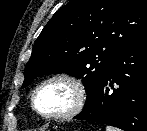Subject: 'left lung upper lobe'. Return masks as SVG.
I'll use <instances>...</instances> for the list:
<instances>
[{"mask_svg": "<svg viewBox=\"0 0 147 131\" xmlns=\"http://www.w3.org/2000/svg\"><path fill=\"white\" fill-rule=\"evenodd\" d=\"M147 35V0H71L35 41L22 88L44 74L82 79L87 106L116 57Z\"/></svg>", "mask_w": 147, "mask_h": 131, "instance_id": "5c2ea615", "label": "left lung upper lobe"}]
</instances>
